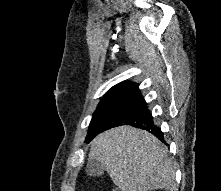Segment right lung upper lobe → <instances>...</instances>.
Wrapping results in <instances>:
<instances>
[{
	"mask_svg": "<svg viewBox=\"0 0 221 191\" xmlns=\"http://www.w3.org/2000/svg\"><path fill=\"white\" fill-rule=\"evenodd\" d=\"M138 87L137 84L131 83L128 81H123L115 86H113L102 98L99 104L111 102V101H119L130 91Z\"/></svg>",
	"mask_w": 221,
	"mask_h": 191,
	"instance_id": "right-lung-upper-lobe-1",
	"label": "right lung upper lobe"
}]
</instances>
